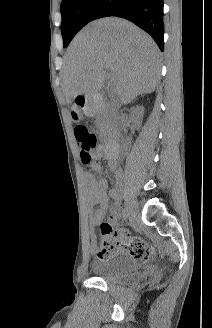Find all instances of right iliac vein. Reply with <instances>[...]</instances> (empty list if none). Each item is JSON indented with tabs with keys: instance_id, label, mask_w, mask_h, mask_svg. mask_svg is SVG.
Listing matches in <instances>:
<instances>
[{
	"instance_id": "63e3f726",
	"label": "right iliac vein",
	"mask_w": 212,
	"mask_h": 328,
	"mask_svg": "<svg viewBox=\"0 0 212 328\" xmlns=\"http://www.w3.org/2000/svg\"><path fill=\"white\" fill-rule=\"evenodd\" d=\"M127 209L131 218H135L138 210L134 201H129L127 203Z\"/></svg>"
}]
</instances>
